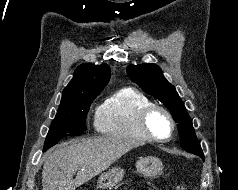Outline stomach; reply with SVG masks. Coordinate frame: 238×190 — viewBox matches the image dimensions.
I'll return each instance as SVG.
<instances>
[{
    "label": "stomach",
    "instance_id": "0dacf381",
    "mask_svg": "<svg viewBox=\"0 0 238 190\" xmlns=\"http://www.w3.org/2000/svg\"><path fill=\"white\" fill-rule=\"evenodd\" d=\"M137 171L144 177H157L163 172V163L157 157H144L136 163ZM124 170L120 167H113L102 173L98 179L97 186L100 189H111L123 178Z\"/></svg>",
    "mask_w": 238,
    "mask_h": 190
}]
</instances>
